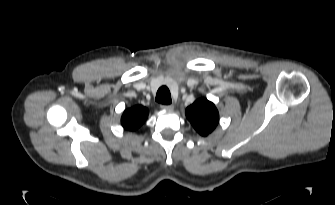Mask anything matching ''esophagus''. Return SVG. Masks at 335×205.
Wrapping results in <instances>:
<instances>
[{"mask_svg":"<svg viewBox=\"0 0 335 205\" xmlns=\"http://www.w3.org/2000/svg\"><path fill=\"white\" fill-rule=\"evenodd\" d=\"M160 107L164 110H171V109L174 108V105H172V104H168V105L162 104Z\"/></svg>","mask_w":335,"mask_h":205,"instance_id":"1","label":"esophagus"}]
</instances>
